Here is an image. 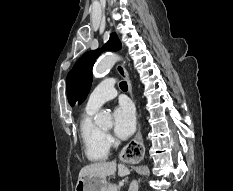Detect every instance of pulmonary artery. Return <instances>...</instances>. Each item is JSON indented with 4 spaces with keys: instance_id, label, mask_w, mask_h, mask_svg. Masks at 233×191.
Listing matches in <instances>:
<instances>
[{
    "instance_id": "e3ab8cb5",
    "label": "pulmonary artery",
    "mask_w": 233,
    "mask_h": 191,
    "mask_svg": "<svg viewBox=\"0 0 233 191\" xmlns=\"http://www.w3.org/2000/svg\"><path fill=\"white\" fill-rule=\"evenodd\" d=\"M117 91L114 79H105L90 94L86 110L97 111L105 102L115 98Z\"/></svg>"
}]
</instances>
